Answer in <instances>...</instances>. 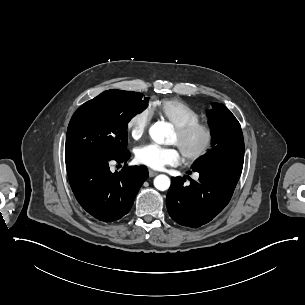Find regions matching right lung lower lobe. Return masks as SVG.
Returning a JSON list of instances; mask_svg holds the SVG:
<instances>
[{"instance_id":"obj_1","label":"right lung lower lobe","mask_w":305,"mask_h":305,"mask_svg":"<svg viewBox=\"0 0 305 305\" xmlns=\"http://www.w3.org/2000/svg\"><path fill=\"white\" fill-rule=\"evenodd\" d=\"M129 158V151L111 158L66 156L68 178L76 199L99 221L112 222L126 215L141 185L148 178L145 166H124L119 173L110 171L111 161L126 164Z\"/></svg>"}]
</instances>
